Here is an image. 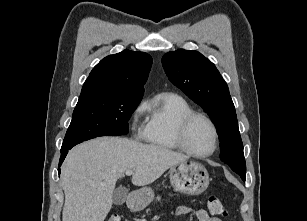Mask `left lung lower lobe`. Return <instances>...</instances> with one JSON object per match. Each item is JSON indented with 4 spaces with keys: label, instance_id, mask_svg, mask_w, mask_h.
<instances>
[{
    "label": "left lung lower lobe",
    "instance_id": "left-lung-lower-lobe-1",
    "mask_svg": "<svg viewBox=\"0 0 307 221\" xmlns=\"http://www.w3.org/2000/svg\"><path fill=\"white\" fill-rule=\"evenodd\" d=\"M241 178L245 181V176H241Z\"/></svg>",
    "mask_w": 307,
    "mask_h": 221
}]
</instances>
